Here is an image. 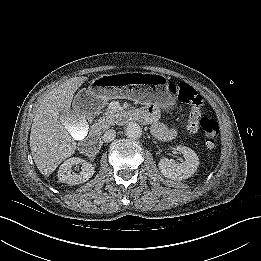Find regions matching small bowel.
Listing matches in <instances>:
<instances>
[{"label": "small bowel", "instance_id": "1", "mask_svg": "<svg viewBox=\"0 0 261 261\" xmlns=\"http://www.w3.org/2000/svg\"><path fill=\"white\" fill-rule=\"evenodd\" d=\"M136 116L143 122H153L151 131L153 135L162 141H170L177 135L174 127L166 126L163 123L154 121L158 114V107L155 105H147L141 109L135 110Z\"/></svg>", "mask_w": 261, "mask_h": 261}]
</instances>
